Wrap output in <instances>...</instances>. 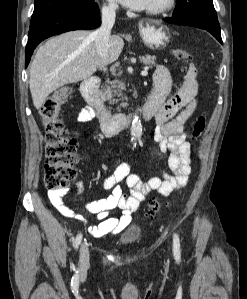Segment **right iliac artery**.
Returning a JSON list of instances; mask_svg holds the SVG:
<instances>
[{
  "label": "right iliac artery",
  "mask_w": 247,
  "mask_h": 299,
  "mask_svg": "<svg viewBox=\"0 0 247 299\" xmlns=\"http://www.w3.org/2000/svg\"><path fill=\"white\" fill-rule=\"evenodd\" d=\"M82 241V234H78L74 241V247L77 249Z\"/></svg>",
  "instance_id": "82829eb1"
}]
</instances>
